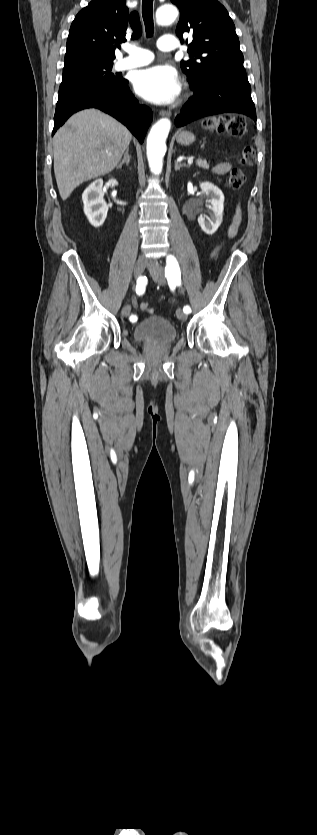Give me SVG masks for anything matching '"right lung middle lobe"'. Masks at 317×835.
<instances>
[{
  "label": "right lung middle lobe",
  "instance_id": "1",
  "mask_svg": "<svg viewBox=\"0 0 317 835\" xmlns=\"http://www.w3.org/2000/svg\"><path fill=\"white\" fill-rule=\"evenodd\" d=\"M112 66V61L99 58L66 60L59 93L95 83H123L122 77L111 73Z\"/></svg>",
  "mask_w": 317,
  "mask_h": 835
}]
</instances>
